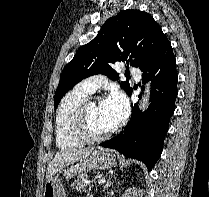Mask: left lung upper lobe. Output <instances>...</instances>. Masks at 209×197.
I'll return each instance as SVG.
<instances>
[{
	"label": "left lung upper lobe",
	"instance_id": "1",
	"mask_svg": "<svg viewBox=\"0 0 209 197\" xmlns=\"http://www.w3.org/2000/svg\"><path fill=\"white\" fill-rule=\"evenodd\" d=\"M167 40L153 17L140 10H124L109 18L98 35L76 52L65 66L55 92L54 106L82 79L95 74L107 75L117 80L119 74L113 64L127 60L131 66L147 63L160 45ZM127 94L132 90L128 81L121 82Z\"/></svg>",
	"mask_w": 209,
	"mask_h": 197
}]
</instances>
